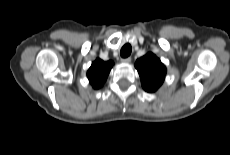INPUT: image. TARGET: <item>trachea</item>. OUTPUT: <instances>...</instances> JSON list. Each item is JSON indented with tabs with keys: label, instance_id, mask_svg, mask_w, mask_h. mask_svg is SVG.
I'll return each instance as SVG.
<instances>
[{
	"label": "trachea",
	"instance_id": "1",
	"mask_svg": "<svg viewBox=\"0 0 230 155\" xmlns=\"http://www.w3.org/2000/svg\"><path fill=\"white\" fill-rule=\"evenodd\" d=\"M132 48L130 44H125L120 51V55L123 58H127L131 54Z\"/></svg>",
	"mask_w": 230,
	"mask_h": 155
}]
</instances>
